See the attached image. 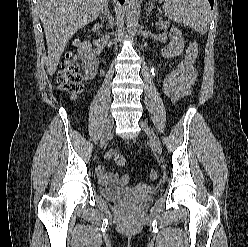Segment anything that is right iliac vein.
Segmentation results:
<instances>
[{
	"mask_svg": "<svg viewBox=\"0 0 248 247\" xmlns=\"http://www.w3.org/2000/svg\"><path fill=\"white\" fill-rule=\"evenodd\" d=\"M112 127H113V120L111 118H109L107 125H106V128H105V131H104V134H103L101 141H100V147L101 148L104 147L107 144V142L111 139Z\"/></svg>",
	"mask_w": 248,
	"mask_h": 247,
	"instance_id": "right-iliac-vein-1",
	"label": "right iliac vein"
}]
</instances>
